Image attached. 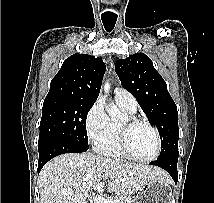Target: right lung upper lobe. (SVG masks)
Here are the masks:
<instances>
[{"mask_svg": "<svg viewBox=\"0 0 214 203\" xmlns=\"http://www.w3.org/2000/svg\"><path fill=\"white\" fill-rule=\"evenodd\" d=\"M106 66L101 58L73 54L67 58L50 83L45 98L95 102L100 92Z\"/></svg>", "mask_w": 214, "mask_h": 203, "instance_id": "obj_1", "label": "right lung upper lobe"}]
</instances>
